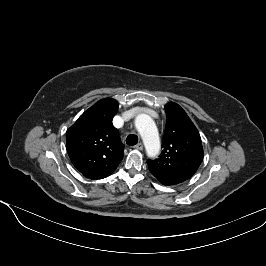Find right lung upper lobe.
I'll use <instances>...</instances> for the list:
<instances>
[{"label": "right lung upper lobe", "mask_w": 266, "mask_h": 266, "mask_svg": "<svg viewBox=\"0 0 266 266\" xmlns=\"http://www.w3.org/2000/svg\"><path fill=\"white\" fill-rule=\"evenodd\" d=\"M117 111L115 99L99 100L66 132V148L71 162L89 179L108 177L123 159L124 145L112 124Z\"/></svg>", "instance_id": "obj_1"}]
</instances>
